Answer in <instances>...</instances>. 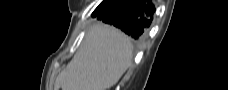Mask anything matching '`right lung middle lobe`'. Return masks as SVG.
Masks as SVG:
<instances>
[{"instance_id":"dd1d6c3e","label":"right lung middle lobe","mask_w":228,"mask_h":90,"mask_svg":"<svg viewBox=\"0 0 228 90\" xmlns=\"http://www.w3.org/2000/svg\"><path fill=\"white\" fill-rule=\"evenodd\" d=\"M107 0H104L100 5L102 6L104 2H106Z\"/></svg>"}]
</instances>
